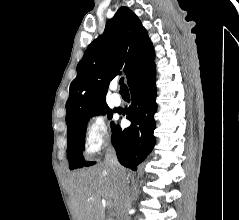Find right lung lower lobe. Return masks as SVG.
<instances>
[{"label": "right lung lower lobe", "instance_id": "obj_1", "mask_svg": "<svg viewBox=\"0 0 239 220\" xmlns=\"http://www.w3.org/2000/svg\"><path fill=\"white\" fill-rule=\"evenodd\" d=\"M128 86L132 103L124 109L123 115L131 121V125L123 130L114 126L111 139L119 162L135 171L155 144L153 116L157 104L154 63L134 75Z\"/></svg>", "mask_w": 239, "mask_h": 220}]
</instances>
